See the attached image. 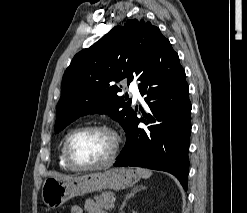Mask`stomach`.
<instances>
[{"instance_id":"obj_1","label":"stomach","mask_w":247,"mask_h":213,"mask_svg":"<svg viewBox=\"0 0 247 213\" xmlns=\"http://www.w3.org/2000/svg\"><path fill=\"white\" fill-rule=\"evenodd\" d=\"M140 176L132 169L111 168L68 178L48 177L42 185V201L51 209L62 206L69 199L103 189L120 190L133 186Z\"/></svg>"}]
</instances>
